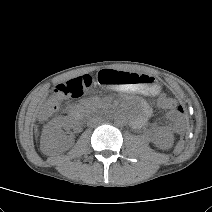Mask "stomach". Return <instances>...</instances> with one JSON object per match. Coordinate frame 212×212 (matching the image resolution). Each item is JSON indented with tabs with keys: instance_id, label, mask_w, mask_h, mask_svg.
<instances>
[{
	"instance_id": "obj_1",
	"label": "stomach",
	"mask_w": 212,
	"mask_h": 212,
	"mask_svg": "<svg viewBox=\"0 0 212 212\" xmlns=\"http://www.w3.org/2000/svg\"><path fill=\"white\" fill-rule=\"evenodd\" d=\"M94 78L98 84L125 92L137 91L154 95L160 91V87L152 77L127 71H116L109 67L98 71Z\"/></svg>"
}]
</instances>
